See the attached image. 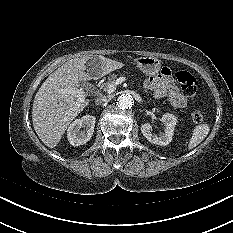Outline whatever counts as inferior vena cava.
Returning <instances> with one entry per match:
<instances>
[{"label":"inferior vena cava","mask_w":233,"mask_h":233,"mask_svg":"<svg viewBox=\"0 0 233 233\" xmlns=\"http://www.w3.org/2000/svg\"><path fill=\"white\" fill-rule=\"evenodd\" d=\"M110 98L107 96H100L97 98V100L95 101L97 105L103 104L105 102H109Z\"/></svg>","instance_id":"602c4592"}]
</instances>
